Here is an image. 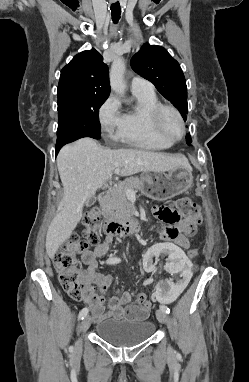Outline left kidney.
I'll use <instances>...</instances> for the list:
<instances>
[{
  "instance_id": "obj_1",
  "label": "left kidney",
  "mask_w": 249,
  "mask_h": 382,
  "mask_svg": "<svg viewBox=\"0 0 249 382\" xmlns=\"http://www.w3.org/2000/svg\"><path fill=\"white\" fill-rule=\"evenodd\" d=\"M157 244L152 246L144 255V260H139L138 264L145 273H167L171 277L170 280H159L153 295L156 302H163L164 307H173L179 293H185V288L192 283V261L180 245H174L173 240H160ZM157 257H165L167 261L157 266Z\"/></svg>"
}]
</instances>
